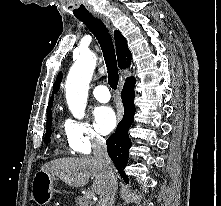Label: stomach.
I'll list each match as a JSON object with an SVG mask.
<instances>
[{
  "instance_id": "stomach-1",
  "label": "stomach",
  "mask_w": 221,
  "mask_h": 206,
  "mask_svg": "<svg viewBox=\"0 0 221 206\" xmlns=\"http://www.w3.org/2000/svg\"><path fill=\"white\" fill-rule=\"evenodd\" d=\"M55 177L47 172L39 171L32 182V198L39 206H44L55 192Z\"/></svg>"
}]
</instances>
